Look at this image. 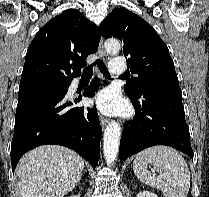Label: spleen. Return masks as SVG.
<instances>
[{"label": "spleen", "instance_id": "spleen-1", "mask_svg": "<svg viewBox=\"0 0 209 197\" xmlns=\"http://www.w3.org/2000/svg\"><path fill=\"white\" fill-rule=\"evenodd\" d=\"M151 163L159 176L146 167ZM133 170L137 178L163 192L165 197H186L190 189V171L177 150L168 146H153L136 155Z\"/></svg>", "mask_w": 209, "mask_h": 197}]
</instances>
